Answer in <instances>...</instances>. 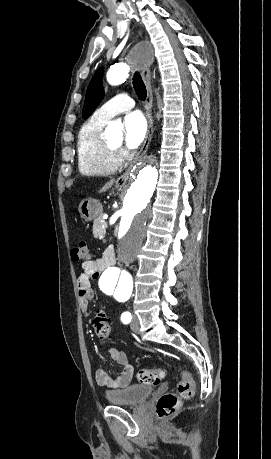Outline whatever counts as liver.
Returning <instances> with one entry per match:
<instances>
[{
	"instance_id": "6515ba94",
	"label": "liver",
	"mask_w": 271,
	"mask_h": 459,
	"mask_svg": "<svg viewBox=\"0 0 271 459\" xmlns=\"http://www.w3.org/2000/svg\"><path fill=\"white\" fill-rule=\"evenodd\" d=\"M114 182H115V180H110V182H107V184H105V186H103V188H101V190H99V194H101V192H107V190H109V188H112Z\"/></svg>"
}]
</instances>
